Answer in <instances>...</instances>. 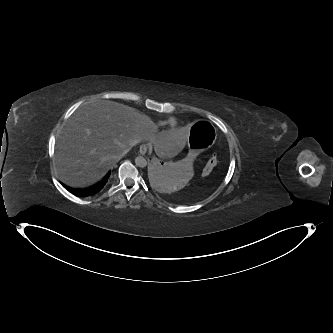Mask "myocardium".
<instances>
[{
	"label": "myocardium",
	"instance_id": "myocardium-1",
	"mask_svg": "<svg viewBox=\"0 0 333 333\" xmlns=\"http://www.w3.org/2000/svg\"><path fill=\"white\" fill-rule=\"evenodd\" d=\"M167 128L169 129V131H173V130H175L176 126H174L171 122H169L167 124Z\"/></svg>",
	"mask_w": 333,
	"mask_h": 333
}]
</instances>
